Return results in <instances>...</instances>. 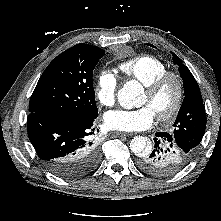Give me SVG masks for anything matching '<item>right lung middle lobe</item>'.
I'll use <instances>...</instances> for the list:
<instances>
[{"mask_svg": "<svg viewBox=\"0 0 221 221\" xmlns=\"http://www.w3.org/2000/svg\"><path fill=\"white\" fill-rule=\"evenodd\" d=\"M103 49L77 44L58 55L41 75L29 112L48 115L92 116L98 113L93 70Z\"/></svg>", "mask_w": 221, "mask_h": 221, "instance_id": "right-lung-middle-lobe-1", "label": "right lung middle lobe"}]
</instances>
